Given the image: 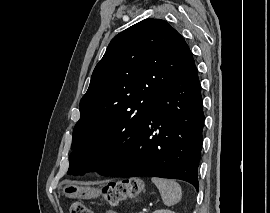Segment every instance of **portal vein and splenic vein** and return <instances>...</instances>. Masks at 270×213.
I'll return each mask as SVG.
<instances>
[{
	"instance_id": "obj_1",
	"label": "portal vein and splenic vein",
	"mask_w": 270,
	"mask_h": 213,
	"mask_svg": "<svg viewBox=\"0 0 270 213\" xmlns=\"http://www.w3.org/2000/svg\"><path fill=\"white\" fill-rule=\"evenodd\" d=\"M144 211H146V210L144 209L143 211H141V212H139V213H144Z\"/></svg>"
}]
</instances>
